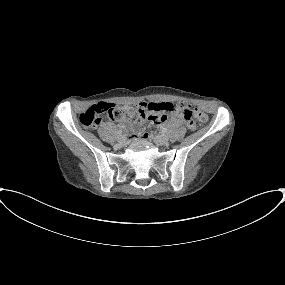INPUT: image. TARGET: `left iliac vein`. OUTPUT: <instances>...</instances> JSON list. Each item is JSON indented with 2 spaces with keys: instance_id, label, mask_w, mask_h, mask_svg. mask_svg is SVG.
<instances>
[{
  "instance_id": "left-iliac-vein-1",
  "label": "left iliac vein",
  "mask_w": 285,
  "mask_h": 285,
  "mask_svg": "<svg viewBox=\"0 0 285 285\" xmlns=\"http://www.w3.org/2000/svg\"><path fill=\"white\" fill-rule=\"evenodd\" d=\"M154 142L157 145L164 146L168 143V137L166 135H156L154 137Z\"/></svg>"
}]
</instances>
